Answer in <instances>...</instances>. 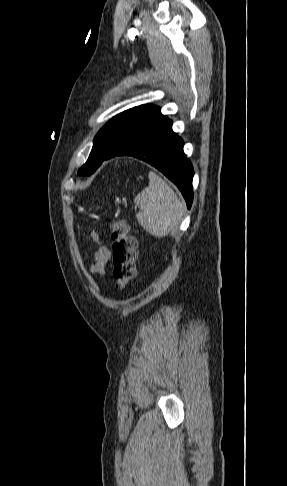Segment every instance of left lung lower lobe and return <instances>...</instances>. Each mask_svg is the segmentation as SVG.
<instances>
[{
    "instance_id": "left-lung-lower-lobe-1",
    "label": "left lung lower lobe",
    "mask_w": 287,
    "mask_h": 486,
    "mask_svg": "<svg viewBox=\"0 0 287 486\" xmlns=\"http://www.w3.org/2000/svg\"><path fill=\"white\" fill-rule=\"evenodd\" d=\"M183 140L172 131L167 120L139 148L125 155L141 159L174 182L183 194L187 207L193 201V167L183 152Z\"/></svg>"
}]
</instances>
